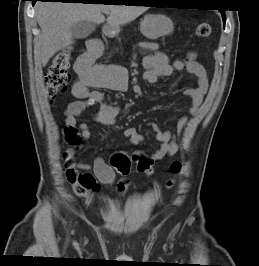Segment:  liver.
I'll list each match as a JSON object with an SVG mask.
<instances>
[{
    "mask_svg": "<svg viewBox=\"0 0 259 266\" xmlns=\"http://www.w3.org/2000/svg\"><path fill=\"white\" fill-rule=\"evenodd\" d=\"M41 28L39 59L43 66L61 49L73 43L71 27L81 21L102 23V12L109 11L107 28H119L142 15L145 6L104 5L62 2H38L35 5Z\"/></svg>",
    "mask_w": 259,
    "mask_h": 266,
    "instance_id": "liver-1",
    "label": "liver"
}]
</instances>
